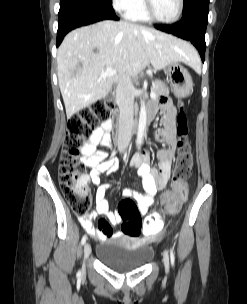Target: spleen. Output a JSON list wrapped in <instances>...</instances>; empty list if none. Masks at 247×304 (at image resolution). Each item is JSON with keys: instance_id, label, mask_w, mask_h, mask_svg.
Segmentation results:
<instances>
[{"instance_id": "obj_1", "label": "spleen", "mask_w": 247, "mask_h": 304, "mask_svg": "<svg viewBox=\"0 0 247 304\" xmlns=\"http://www.w3.org/2000/svg\"><path fill=\"white\" fill-rule=\"evenodd\" d=\"M199 67H200V62H199V59H198V65L195 68L199 69Z\"/></svg>"}]
</instances>
